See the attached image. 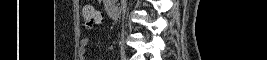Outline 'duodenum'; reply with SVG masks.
<instances>
[{
    "label": "duodenum",
    "mask_w": 267,
    "mask_h": 60,
    "mask_svg": "<svg viewBox=\"0 0 267 60\" xmlns=\"http://www.w3.org/2000/svg\"><path fill=\"white\" fill-rule=\"evenodd\" d=\"M117 0L107 1V11L112 19H117L120 12V7L117 4Z\"/></svg>",
    "instance_id": "1"
}]
</instances>
